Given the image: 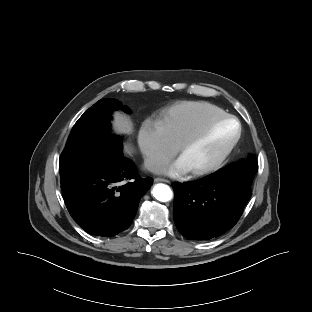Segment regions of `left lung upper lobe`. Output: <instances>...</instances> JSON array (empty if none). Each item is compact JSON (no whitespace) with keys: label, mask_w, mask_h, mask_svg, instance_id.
<instances>
[{"label":"left lung upper lobe","mask_w":312,"mask_h":312,"mask_svg":"<svg viewBox=\"0 0 312 312\" xmlns=\"http://www.w3.org/2000/svg\"><path fill=\"white\" fill-rule=\"evenodd\" d=\"M235 179L251 188L255 173L258 171V164L254 155H249L247 160H241L239 163L231 164L222 169Z\"/></svg>","instance_id":"5c2ea615"}]
</instances>
